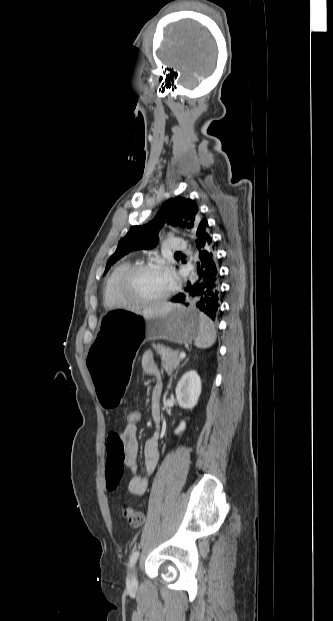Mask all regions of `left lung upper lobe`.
Listing matches in <instances>:
<instances>
[{
	"mask_svg": "<svg viewBox=\"0 0 333 621\" xmlns=\"http://www.w3.org/2000/svg\"><path fill=\"white\" fill-rule=\"evenodd\" d=\"M166 222L192 229L194 233L208 224L201 218L195 201L184 197L169 199L149 223L130 228L126 236L118 242L115 253L107 261L105 273L129 251L154 248L158 244V231Z\"/></svg>",
	"mask_w": 333,
	"mask_h": 621,
	"instance_id": "obj_1",
	"label": "left lung upper lobe"
}]
</instances>
